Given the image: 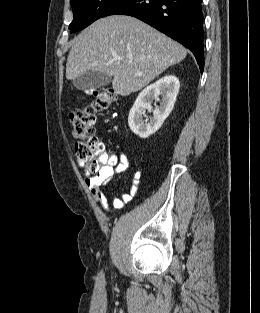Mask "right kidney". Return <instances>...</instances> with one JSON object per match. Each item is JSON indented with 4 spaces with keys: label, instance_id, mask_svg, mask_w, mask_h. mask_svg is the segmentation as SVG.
Returning <instances> with one entry per match:
<instances>
[{
    "label": "right kidney",
    "instance_id": "right-kidney-1",
    "mask_svg": "<svg viewBox=\"0 0 260 313\" xmlns=\"http://www.w3.org/2000/svg\"><path fill=\"white\" fill-rule=\"evenodd\" d=\"M179 87V80L174 75H165L155 83L147 86L138 95L128 116V124L132 132L142 139L154 134L171 113ZM159 95H162L160 106L155 107L152 111L153 117L144 120L145 110H151L152 101L159 100Z\"/></svg>",
    "mask_w": 260,
    "mask_h": 313
}]
</instances>
